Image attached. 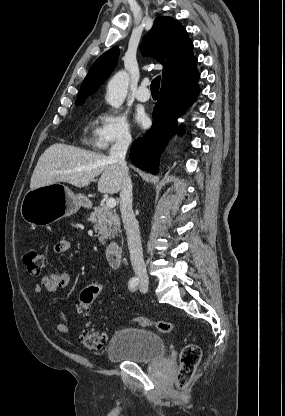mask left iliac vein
Returning <instances> with one entry per match:
<instances>
[{
	"label": "left iliac vein",
	"mask_w": 285,
	"mask_h": 416,
	"mask_svg": "<svg viewBox=\"0 0 285 416\" xmlns=\"http://www.w3.org/2000/svg\"><path fill=\"white\" fill-rule=\"evenodd\" d=\"M139 289H140L141 292L145 293L148 290V286L140 285Z\"/></svg>",
	"instance_id": "1"
}]
</instances>
